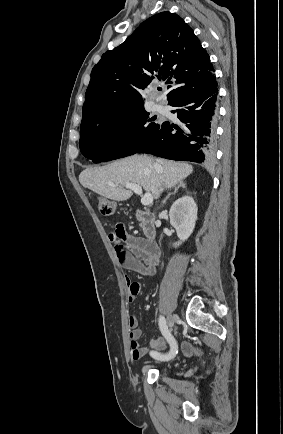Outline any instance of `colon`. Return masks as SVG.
Returning a JSON list of instances; mask_svg holds the SVG:
<instances>
[{
    "label": "colon",
    "instance_id": "1",
    "mask_svg": "<svg viewBox=\"0 0 283 434\" xmlns=\"http://www.w3.org/2000/svg\"><path fill=\"white\" fill-rule=\"evenodd\" d=\"M98 207L103 215H112L115 210V205L113 201L105 197H100L98 199Z\"/></svg>",
    "mask_w": 283,
    "mask_h": 434
}]
</instances>
